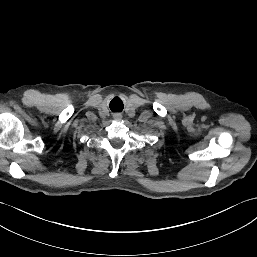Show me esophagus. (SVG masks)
I'll use <instances>...</instances> for the list:
<instances>
[{
    "instance_id": "34e87169",
    "label": "esophagus",
    "mask_w": 257,
    "mask_h": 257,
    "mask_svg": "<svg viewBox=\"0 0 257 257\" xmlns=\"http://www.w3.org/2000/svg\"><path fill=\"white\" fill-rule=\"evenodd\" d=\"M114 118H115L116 120H119V119L121 118V116H120L119 114H115V115H114Z\"/></svg>"
}]
</instances>
